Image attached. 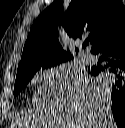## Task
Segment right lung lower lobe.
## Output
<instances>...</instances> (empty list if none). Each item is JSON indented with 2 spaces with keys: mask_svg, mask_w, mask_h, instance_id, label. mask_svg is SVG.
<instances>
[{
  "mask_svg": "<svg viewBox=\"0 0 125 128\" xmlns=\"http://www.w3.org/2000/svg\"><path fill=\"white\" fill-rule=\"evenodd\" d=\"M99 54L97 66L88 68L92 76L105 75L104 86L111 94V111L119 128H125V26L91 50Z\"/></svg>",
  "mask_w": 125,
  "mask_h": 128,
  "instance_id": "obj_1",
  "label": "right lung lower lobe"
}]
</instances>
